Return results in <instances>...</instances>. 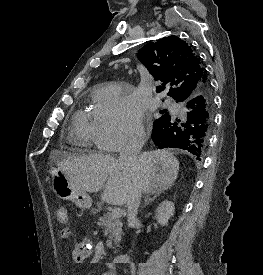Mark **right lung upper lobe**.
Returning <instances> with one entry per match:
<instances>
[{
  "mask_svg": "<svg viewBox=\"0 0 263 275\" xmlns=\"http://www.w3.org/2000/svg\"><path fill=\"white\" fill-rule=\"evenodd\" d=\"M138 58L155 80L162 82L157 92L171 86L168 95L175 100L197 93L208 83L199 58L191 47L177 36H168L149 42L138 52ZM210 120H213V110Z\"/></svg>",
  "mask_w": 263,
  "mask_h": 275,
  "instance_id": "right-lung-upper-lobe-1",
  "label": "right lung upper lobe"
}]
</instances>
